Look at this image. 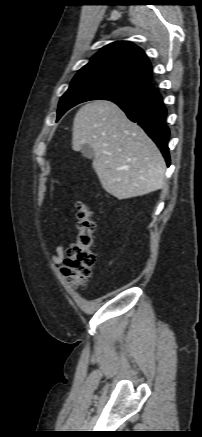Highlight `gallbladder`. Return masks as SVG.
<instances>
[{
    "mask_svg": "<svg viewBox=\"0 0 202 437\" xmlns=\"http://www.w3.org/2000/svg\"><path fill=\"white\" fill-rule=\"evenodd\" d=\"M81 153L84 157L88 158V159H93L94 158V150L93 148L88 145V144H84L81 147Z\"/></svg>",
    "mask_w": 202,
    "mask_h": 437,
    "instance_id": "bac80fb5",
    "label": "gallbladder"
}]
</instances>
